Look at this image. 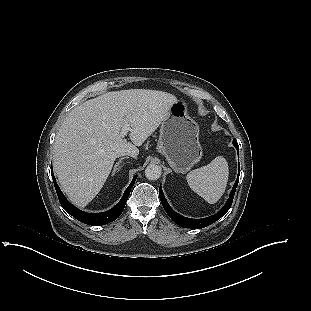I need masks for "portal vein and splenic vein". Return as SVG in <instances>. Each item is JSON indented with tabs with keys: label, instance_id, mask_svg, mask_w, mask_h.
<instances>
[{
	"label": "portal vein and splenic vein",
	"instance_id": "obj_1",
	"mask_svg": "<svg viewBox=\"0 0 311 311\" xmlns=\"http://www.w3.org/2000/svg\"><path fill=\"white\" fill-rule=\"evenodd\" d=\"M128 131H130V127H129V124L126 123L122 128L121 137H125Z\"/></svg>",
	"mask_w": 311,
	"mask_h": 311
}]
</instances>
